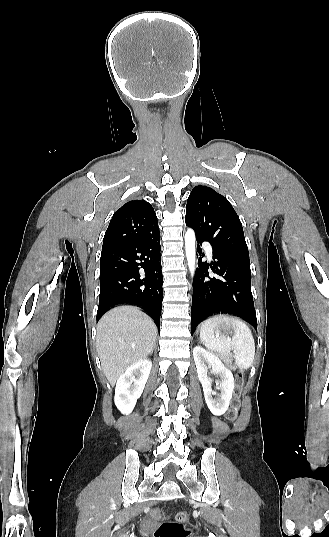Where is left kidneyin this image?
Masks as SVG:
<instances>
[{"instance_id":"left-kidney-1","label":"left kidney","mask_w":329,"mask_h":537,"mask_svg":"<svg viewBox=\"0 0 329 537\" xmlns=\"http://www.w3.org/2000/svg\"><path fill=\"white\" fill-rule=\"evenodd\" d=\"M193 356L198 378L203 387L206 404L214 415L221 416L227 411L233 395V374L219 357L199 345L193 349ZM209 368H212L220 377V380H217L218 389L221 391L220 399H214L212 397L214 391L212 390L210 378L207 376Z\"/></svg>"}]
</instances>
